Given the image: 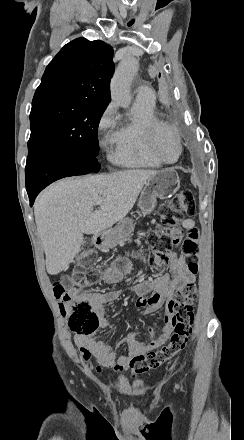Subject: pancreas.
<instances>
[{
  "instance_id": "obj_1",
  "label": "pancreas",
  "mask_w": 244,
  "mask_h": 440,
  "mask_svg": "<svg viewBox=\"0 0 244 440\" xmlns=\"http://www.w3.org/2000/svg\"><path fill=\"white\" fill-rule=\"evenodd\" d=\"M128 236L129 234H124V236H118V240H115V244H118V242H123V240H126ZM115 244H113V246H115Z\"/></svg>"
}]
</instances>
